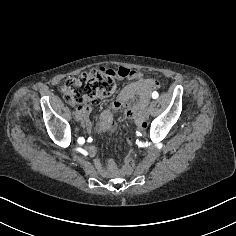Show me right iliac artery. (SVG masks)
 Returning <instances> with one entry per match:
<instances>
[{"instance_id":"obj_1","label":"right iliac artery","mask_w":236,"mask_h":236,"mask_svg":"<svg viewBox=\"0 0 236 236\" xmlns=\"http://www.w3.org/2000/svg\"><path fill=\"white\" fill-rule=\"evenodd\" d=\"M85 139L83 137L78 138V143L79 144H84Z\"/></svg>"}]
</instances>
